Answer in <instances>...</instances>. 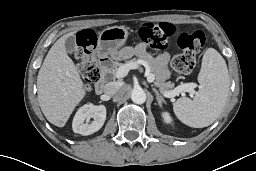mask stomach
Listing matches in <instances>:
<instances>
[{
	"mask_svg": "<svg viewBox=\"0 0 256 171\" xmlns=\"http://www.w3.org/2000/svg\"><path fill=\"white\" fill-rule=\"evenodd\" d=\"M129 31L125 26H112L104 29L99 35L97 55L99 57L112 56L121 58L119 49L125 45Z\"/></svg>",
	"mask_w": 256,
	"mask_h": 171,
	"instance_id": "obj_1",
	"label": "stomach"
}]
</instances>
